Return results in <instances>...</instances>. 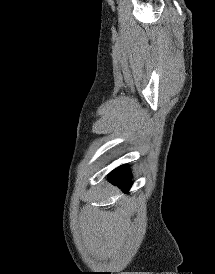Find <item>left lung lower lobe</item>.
Segmentation results:
<instances>
[{
	"label": "left lung lower lobe",
	"instance_id": "obj_1",
	"mask_svg": "<svg viewBox=\"0 0 215 274\" xmlns=\"http://www.w3.org/2000/svg\"><path fill=\"white\" fill-rule=\"evenodd\" d=\"M108 179L126 192L130 189L132 185L131 175L125 165H122L113 170L109 174Z\"/></svg>",
	"mask_w": 215,
	"mask_h": 274
}]
</instances>
